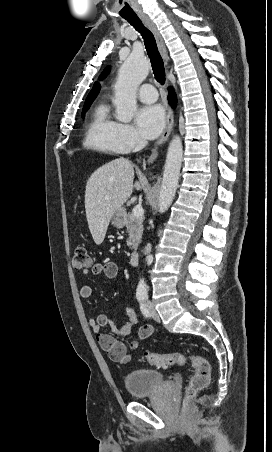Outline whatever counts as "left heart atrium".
Segmentation results:
<instances>
[{"instance_id":"1","label":"left heart atrium","mask_w":272,"mask_h":452,"mask_svg":"<svg viewBox=\"0 0 272 452\" xmlns=\"http://www.w3.org/2000/svg\"><path fill=\"white\" fill-rule=\"evenodd\" d=\"M165 125V113L161 106L144 107L138 114L137 126L145 138H155Z\"/></svg>"}]
</instances>
